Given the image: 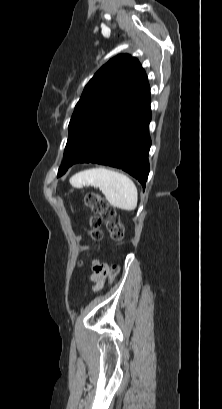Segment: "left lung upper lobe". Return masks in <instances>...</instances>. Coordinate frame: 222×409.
<instances>
[{
  "label": "left lung upper lobe",
  "mask_w": 222,
  "mask_h": 409,
  "mask_svg": "<svg viewBox=\"0 0 222 409\" xmlns=\"http://www.w3.org/2000/svg\"><path fill=\"white\" fill-rule=\"evenodd\" d=\"M131 99L149 102L150 88L139 61L121 54L103 65L85 86L69 123V137L58 177Z\"/></svg>",
  "instance_id": "1"
}]
</instances>
